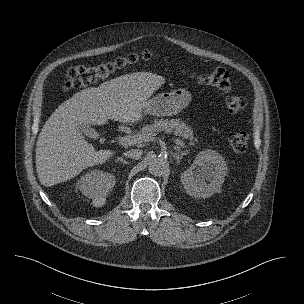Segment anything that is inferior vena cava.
I'll return each mask as SVG.
<instances>
[{
  "label": "inferior vena cava",
  "instance_id": "obj_1",
  "mask_svg": "<svg viewBox=\"0 0 304 304\" xmlns=\"http://www.w3.org/2000/svg\"><path fill=\"white\" fill-rule=\"evenodd\" d=\"M143 151L139 149H132L124 153L128 158L138 160L141 158Z\"/></svg>",
  "mask_w": 304,
  "mask_h": 304
}]
</instances>
